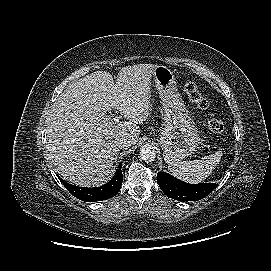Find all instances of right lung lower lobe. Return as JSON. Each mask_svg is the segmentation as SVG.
<instances>
[{
    "label": "right lung lower lobe",
    "instance_id": "1",
    "mask_svg": "<svg viewBox=\"0 0 271 271\" xmlns=\"http://www.w3.org/2000/svg\"><path fill=\"white\" fill-rule=\"evenodd\" d=\"M59 180L64 184L66 189L76 198L86 202H95L114 197L121 188L123 175L120 164L113 178L108 183L101 187L95 188L78 187L65 182L60 177Z\"/></svg>",
    "mask_w": 271,
    "mask_h": 271
}]
</instances>
